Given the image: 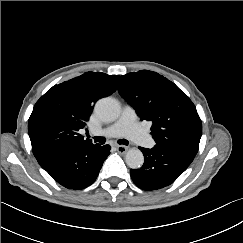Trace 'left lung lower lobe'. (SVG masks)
I'll use <instances>...</instances> for the list:
<instances>
[{
  "mask_svg": "<svg viewBox=\"0 0 243 243\" xmlns=\"http://www.w3.org/2000/svg\"><path fill=\"white\" fill-rule=\"evenodd\" d=\"M197 144H156L152 149L142 148L144 164L131 169L133 182L146 191L157 190L172 184L191 164L198 152Z\"/></svg>",
  "mask_w": 243,
  "mask_h": 243,
  "instance_id": "obj_1",
  "label": "left lung lower lobe"
}]
</instances>
